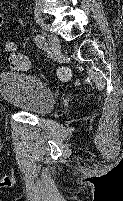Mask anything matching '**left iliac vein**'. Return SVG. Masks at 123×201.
<instances>
[{
  "mask_svg": "<svg viewBox=\"0 0 123 201\" xmlns=\"http://www.w3.org/2000/svg\"><path fill=\"white\" fill-rule=\"evenodd\" d=\"M48 41L52 49V52L55 55L60 54L61 46L58 37L55 35H48Z\"/></svg>",
  "mask_w": 123,
  "mask_h": 201,
  "instance_id": "4c4485c4",
  "label": "left iliac vein"
}]
</instances>
